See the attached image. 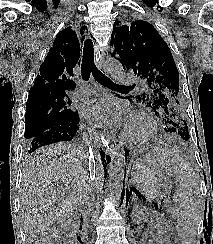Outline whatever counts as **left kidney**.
<instances>
[{
  "instance_id": "5707ae66",
  "label": "left kidney",
  "mask_w": 213,
  "mask_h": 244,
  "mask_svg": "<svg viewBox=\"0 0 213 244\" xmlns=\"http://www.w3.org/2000/svg\"><path fill=\"white\" fill-rule=\"evenodd\" d=\"M150 217L153 224V231L151 232V237L155 244H170V240L167 234V229L163 224L162 219H160L155 214H152L151 209L146 208L142 205H137L133 209V218L137 222H141ZM151 243V244H154Z\"/></svg>"
}]
</instances>
